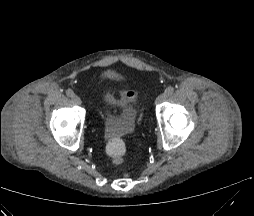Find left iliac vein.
<instances>
[{"label": "left iliac vein", "instance_id": "4c4485c4", "mask_svg": "<svg viewBox=\"0 0 254 216\" xmlns=\"http://www.w3.org/2000/svg\"><path fill=\"white\" fill-rule=\"evenodd\" d=\"M167 97L168 96L165 93H163L157 97V99L155 100V103L156 104L162 103L163 101L167 99Z\"/></svg>", "mask_w": 254, "mask_h": 216}]
</instances>
